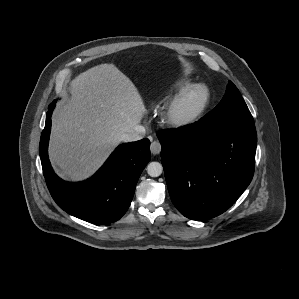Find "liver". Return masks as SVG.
Instances as JSON below:
<instances>
[{
    "instance_id": "6515ba94",
    "label": "liver",
    "mask_w": 299,
    "mask_h": 299,
    "mask_svg": "<svg viewBox=\"0 0 299 299\" xmlns=\"http://www.w3.org/2000/svg\"><path fill=\"white\" fill-rule=\"evenodd\" d=\"M68 91L71 96L52 121L49 156L62 178L80 181L138 126L146 108L133 82L114 64L81 73Z\"/></svg>"
}]
</instances>
